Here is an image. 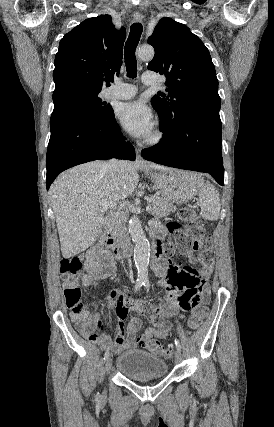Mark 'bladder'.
Masks as SVG:
<instances>
[{
    "mask_svg": "<svg viewBox=\"0 0 274 427\" xmlns=\"http://www.w3.org/2000/svg\"><path fill=\"white\" fill-rule=\"evenodd\" d=\"M168 364L144 349H131L115 359V370L130 379L162 377L168 374Z\"/></svg>",
    "mask_w": 274,
    "mask_h": 427,
    "instance_id": "bladder-1",
    "label": "bladder"
}]
</instances>
